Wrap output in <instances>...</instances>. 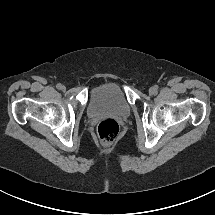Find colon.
<instances>
[{"mask_svg": "<svg viewBox=\"0 0 215 215\" xmlns=\"http://www.w3.org/2000/svg\"><path fill=\"white\" fill-rule=\"evenodd\" d=\"M120 126L114 119L102 120L97 126V134L103 145L112 143L119 135Z\"/></svg>", "mask_w": 215, "mask_h": 215, "instance_id": "1", "label": "colon"}]
</instances>
